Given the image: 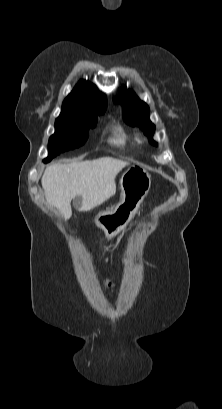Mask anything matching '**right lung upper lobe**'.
<instances>
[{
	"instance_id": "1",
	"label": "right lung upper lobe",
	"mask_w": 222,
	"mask_h": 409,
	"mask_svg": "<svg viewBox=\"0 0 222 409\" xmlns=\"http://www.w3.org/2000/svg\"><path fill=\"white\" fill-rule=\"evenodd\" d=\"M106 99L96 86L87 81H80L64 100L62 112L94 110L105 112Z\"/></svg>"
}]
</instances>
